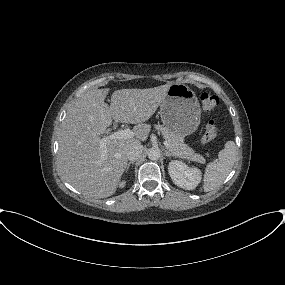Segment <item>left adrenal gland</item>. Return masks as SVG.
Segmentation results:
<instances>
[{"label":"left adrenal gland","instance_id":"a2214340","mask_svg":"<svg viewBox=\"0 0 285 285\" xmlns=\"http://www.w3.org/2000/svg\"><path fill=\"white\" fill-rule=\"evenodd\" d=\"M165 155H166L167 157L173 156V154H172L171 152H169L168 150H165Z\"/></svg>","mask_w":285,"mask_h":285}]
</instances>
